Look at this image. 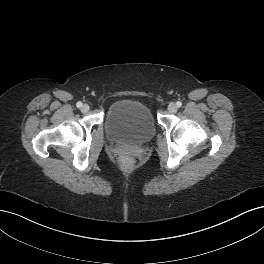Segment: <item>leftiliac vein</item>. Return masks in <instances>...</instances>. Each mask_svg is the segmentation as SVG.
Here are the masks:
<instances>
[{"label": "left iliac vein", "instance_id": "4c4485c4", "mask_svg": "<svg viewBox=\"0 0 264 264\" xmlns=\"http://www.w3.org/2000/svg\"><path fill=\"white\" fill-rule=\"evenodd\" d=\"M177 106L175 103L171 102L169 105H168V110L169 112L171 113H175L177 111Z\"/></svg>", "mask_w": 264, "mask_h": 264}]
</instances>
